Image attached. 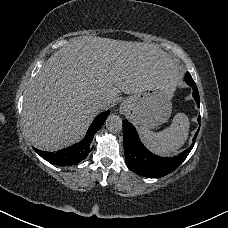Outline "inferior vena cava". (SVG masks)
Wrapping results in <instances>:
<instances>
[{
	"label": "inferior vena cava",
	"mask_w": 228,
	"mask_h": 228,
	"mask_svg": "<svg viewBox=\"0 0 228 228\" xmlns=\"http://www.w3.org/2000/svg\"><path fill=\"white\" fill-rule=\"evenodd\" d=\"M108 104L109 102L105 98H100L95 102V105L99 108H104Z\"/></svg>",
	"instance_id": "obj_1"
}]
</instances>
